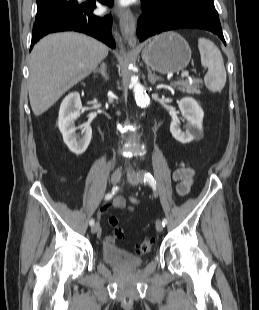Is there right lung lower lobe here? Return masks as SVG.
<instances>
[{"label": "right lung lower lobe", "instance_id": "98d812e1", "mask_svg": "<svg viewBox=\"0 0 259 310\" xmlns=\"http://www.w3.org/2000/svg\"><path fill=\"white\" fill-rule=\"evenodd\" d=\"M98 1L109 6L113 4V0ZM94 8L93 3H82L72 8L52 9L36 15L30 50L49 33L72 30L93 36L111 48H115L111 35L112 16H95L92 13Z\"/></svg>", "mask_w": 259, "mask_h": 310}]
</instances>
